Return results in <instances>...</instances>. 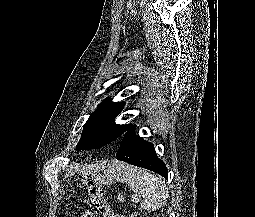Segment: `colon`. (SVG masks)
<instances>
[{"label":"colon","mask_w":255,"mask_h":217,"mask_svg":"<svg viewBox=\"0 0 255 217\" xmlns=\"http://www.w3.org/2000/svg\"><path fill=\"white\" fill-rule=\"evenodd\" d=\"M88 192L96 208L101 213L106 212L107 211L106 200L102 194L100 186L90 181L88 184ZM130 217H143V215L139 211H135L131 213Z\"/></svg>","instance_id":"1"}]
</instances>
